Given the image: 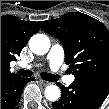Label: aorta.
Masks as SVG:
<instances>
[{
	"label": "aorta",
	"mask_w": 109,
	"mask_h": 109,
	"mask_svg": "<svg viewBox=\"0 0 109 109\" xmlns=\"http://www.w3.org/2000/svg\"><path fill=\"white\" fill-rule=\"evenodd\" d=\"M29 47L34 54L44 55L50 49V40L44 34H35L29 40ZM61 96L57 85H49L45 88V97L49 101H57Z\"/></svg>",
	"instance_id": "aorta-1"
}]
</instances>
